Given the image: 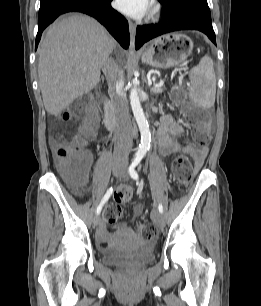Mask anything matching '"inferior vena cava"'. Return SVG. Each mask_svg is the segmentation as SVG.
I'll list each match as a JSON object with an SVG mask.
<instances>
[{
    "label": "inferior vena cava",
    "instance_id": "inferior-vena-cava-1",
    "mask_svg": "<svg viewBox=\"0 0 261 306\" xmlns=\"http://www.w3.org/2000/svg\"><path fill=\"white\" fill-rule=\"evenodd\" d=\"M108 86L110 98L115 110L117 130L122 137L121 142L116 146V152L127 157L132 149V123L126 92L124 90V74L116 64L113 73L108 78Z\"/></svg>",
    "mask_w": 261,
    "mask_h": 306
}]
</instances>
